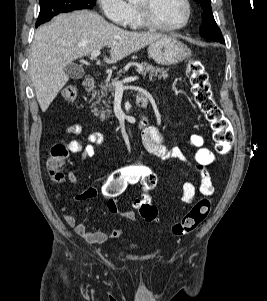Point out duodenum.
I'll use <instances>...</instances> for the list:
<instances>
[{"label": "duodenum", "instance_id": "duodenum-1", "mask_svg": "<svg viewBox=\"0 0 267 301\" xmlns=\"http://www.w3.org/2000/svg\"><path fill=\"white\" fill-rule=\"evenodd\" d=\"M83 88L87 92H91L94 88V79L88 78L83 82ZM136 105L139 111L141 112V118L139 120V127L144 128L148 125V119L145 115V110L148 105V97L145 93H139L136 97Z\"/></svg>", "mask_w": 267, "mask_h": 301}]
</instances>
